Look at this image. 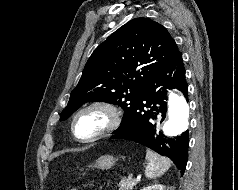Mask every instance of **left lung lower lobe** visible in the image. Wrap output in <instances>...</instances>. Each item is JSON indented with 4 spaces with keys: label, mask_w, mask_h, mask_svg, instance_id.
Here are the masks:
<instances>
[{
    "label": "left lung lower lobe",
    "mask_w": 238,
    "mask_h": 190,
    "mask_svg": "<svg viewBox=\"0 0 238 190\" xmlns=\"http://www.w3.org/2000/svg\"><path fill=\"white\" fill-rule=\"evenodd\" d=\"M175 88L188 100V85L180 52L153 74L130 116L113 132L111 139L134 141L165 155L184 174L188 160V130L177 137L168 138L156 126L157 121H163L166 116L167 89Z\"/></svg>",
    "instance_id": "left-lung-lower-lobe-1"
}]
</instances>
